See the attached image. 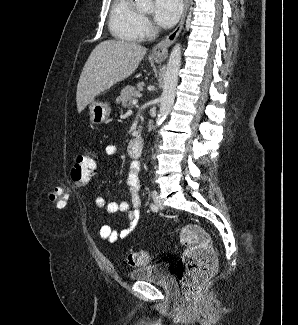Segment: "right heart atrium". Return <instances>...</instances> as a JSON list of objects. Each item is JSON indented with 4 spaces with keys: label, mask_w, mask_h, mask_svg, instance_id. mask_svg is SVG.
<instances>
[{
    "label": "right heart atrium",
    "mask_w": 298,
    "mask_h": 325,
    "mask_svg": "<svg viewBox=\"0 0 298 325\" xmlns=\"http://www.w3.org/2000/svg\"><path fill=\"white\" fill-rule=\"evenodd\" d=\"M140 28L146 32H150L152 30V26L147 19V17L143 16L140 19ZM139 41H149L150 36L149 34H139L138 36Z\"/></svg>",
    "instance_id": "d8ad5b80"
}]
</instances>
